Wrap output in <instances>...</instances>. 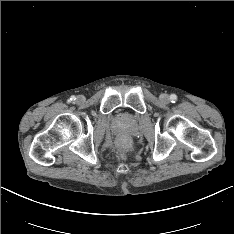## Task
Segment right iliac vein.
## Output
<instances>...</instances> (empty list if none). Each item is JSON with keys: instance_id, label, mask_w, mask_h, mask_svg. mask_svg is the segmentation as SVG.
<instances>
[{"instance_id": "right-iliac-vein-1", "label": "right iliac vein", "mask_w": 234, "mask_h": 234, "mask_svg": "<svg viewBox=\"0 0 234 234\" xmlns=\"http://www.w3.org/2000/svg\"><path fill=\"white\" fill-rule=\"evenodd\" d=\"M84 101V97L82 96V95H79L78 97H77V102L78 103H81V102H83Z\"/></svg>"}]
</instances>
